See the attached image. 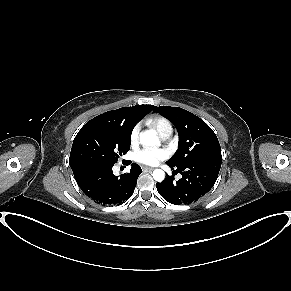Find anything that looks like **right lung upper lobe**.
Listing matches in <instances>:
<instances>
[{"label": "right lung upper lobe", "mask_w": 291, "mask_h": 291, "mask_svg": "<svg viewBox=\"0 0 291 291\" xmlns=\"http://www.w3.org/2000/svg\"><path fill=\"white\" fill-rule=\"evenodd\" d=\"M153 105H136L132 107H124L117 110L105 112L92 120H107L112 122H120L129 125L131 128L143 118L150 111L154 110Z\"/></svg>", "instance_id": "1"}]
</instances>
